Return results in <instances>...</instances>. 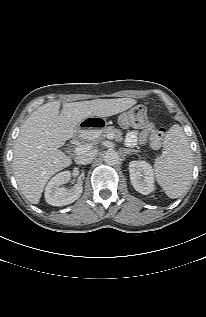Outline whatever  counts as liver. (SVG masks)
I'll list each match as a JSON object with an SVG mask.
<instances>
[{"label": "liver", "instance_id": "1", "mask_svg": "<svg viewBox=\"0 0 206 317\" xmlns=\"http://www.w3.org/2000/svg\"><path fill=\"white\" fill-rule=\"evenodd\" d=\"M132 98L96 99L73 103H46L23 123L14 146L13 171L18 187L32 204H38L48 180L70 166L60 147L71 139L79 123L97 116L109 117L135 105Z\"/></svg>", "mask_w": 206, "mask_h": 317}]
</instances>
